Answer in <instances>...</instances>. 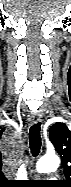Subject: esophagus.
Returning <instances> with one entry per match:
<instances>
[{"label":"esophagus","instance_id":"esophagus-1","mask_svg":"<svg viewBox=\"0 0 71 187\" xmlns=\"http://www.w3.org/2000/svg\"><path fill=\"white\" fill-rule=\"evenodd\" d=\"M42 119V113L41 111H36V112H33L31 115H30V122L32 124H36L38 122H40Z\"/></svg>","mask_w":71,"mask_h":187}]
</instances>
